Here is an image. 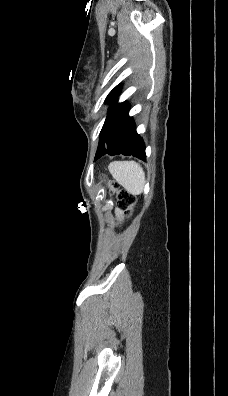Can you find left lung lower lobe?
<instances>
[{
    "label": "left lung lower lobe",
    "mask_w": 228,
    "mask_h": 396,
    "mask_svg": "<svg viewBox=\"0 0 228 396\" xmlns=\"http://www.w3.org/2000/svg\"><path fill=\"white\" fill-rule=\"evenodd\" d=\"M128 113L126 102L115 101L112 104L100 133L95 160L106 153L132 155L146 160L145 144L137 134L134 120Z\"/></svg>",
    "instance_id": "left-lung-lower-lobe-1"
}]
</instances>
